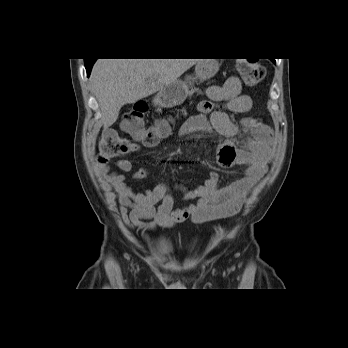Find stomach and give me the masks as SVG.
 Returning <instances> with one entry per match:
<instances>
[{
	"mask_svg": "<svg viewBox=\"0 0 348 348\" xmlns=\"http://www.w3.org/2000/svg\"><path fill=\"white\" fill-rule=\"evenodd\" d=\"M219 69L216 59H200L195 66L194 76H187L185 81L177 80L168 86H165L154 97V104L159 107L171 108L183 103L186 99L189 89L197 81L203 82L213 77Z\"/></svg>",
	"mask_w": 348,
	"mask_h": 348,
	"instance_id": "1",
	"label": "stomach"
}]
</instances>
